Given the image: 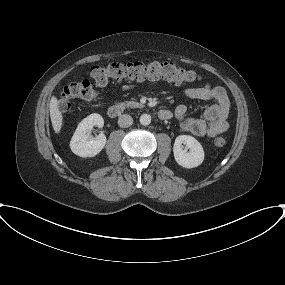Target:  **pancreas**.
Wrapping results in <instances>:
<instances>
[{"instance_id": "pancreas-1", "label": "pancreas", "mask_w": 285, "mask_h": 285, "mask_svg": "<svg viewBox=\"0 0 285 285\" xmlns=\"http://www.w3.org/2000/svg\"><path fill=\"white\" fill-rule=\"evenodd\" d=\"M122 106H125V107H131V108H141L143 107L142 104L138 103V102H135V101H126V102H123L121 103Z\"/></svg>"}]
</instances>
